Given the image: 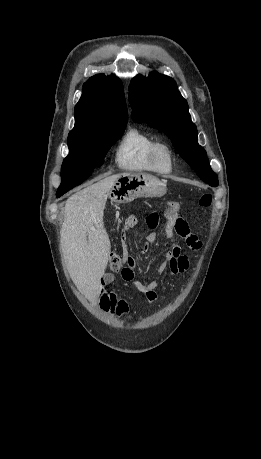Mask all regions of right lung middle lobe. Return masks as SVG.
<instances>
[{
    "mask_svg": "<svg viewBox=\"0 0 261 459\" xmlns=\"http://www.w3.org/2000/svg\"><path fill=\"white\" fill-rule=\"evenodd\" d=\"M126 125L90 129L68 138L69 155L61 167L62 181L57 197L81 184L95 167L103 164L107 151L121 137Z\"/></svg>",
    "mask_w": 261,
    "mask_h": 459,
    "instance_id": "dd1d6c3e",
    "label": "right lung middle lobe"
}]
</instances>
